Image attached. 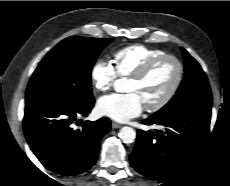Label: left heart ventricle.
<instances>
[{
  "mask_svg": "<svg viewBox=\"0 0 230 186\" xmlns=\"http://www.w3.org/2000/svg\"><path fill=\"white\" fill-rule=\"evenodd\" d=\"M175 76V64L172 61H163L144 80L129 79L125 90L137 94L144 106L152 105L167 93Z\"/></svg>",
  "mask_w": 230,
  "mask_h": 186,
  "instance_id": "1",
  "label": "left heart ventricle"
}]
</instances>
